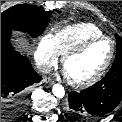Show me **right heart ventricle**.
<instances>
[{
  "label": "right heart ventricle",
  "instance_id": "e07e8e85",
  "mask_svg": "<svg viewBox=\"0 0 122 122\" xmlns=\"http://www.w3.org/2000/svg\"><path fill=\"white\" fill-rule=\"evenodd\" d=\"M102 35L103 32L96 25L82 22L57 29L52 38L57 51L63 55L81 42Z\"/></svg>",
  "mask_w": 122,
  "mask_h": 122
}]
</instances>
